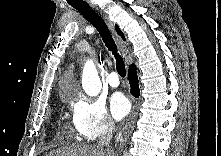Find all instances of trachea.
<instances>
[{"label":"trachea","mask_w":221,"mask_h":156,"mask_svg":"<svg viewBox=\"0 0 221 156\" xmlns=\"http://www.w3.org/2000/svg\"><path fill=\"white\" fill-rule=\"evenodd\" d=\"M69 4L78 10L99 32L108 50L116 59V69L121 77L126 76V68L122 57L117 53L116 44L104 20L84 1L71 0Z\"/></svg>","instance_id":"1"}]
</instances>
